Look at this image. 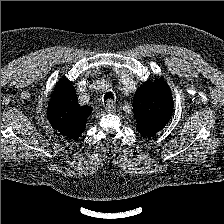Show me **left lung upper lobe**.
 Wrapping results in <instances>:
<instances>
[{
	"label": "left lung upper lobe",
	"instance_id": "obj_1",
	"mask_svg": "<svg viewBox=\"0 0 224 224\" xmlns=\"http://www.w3.org/2000/svg\"><path fill=\"white\" fill-rule=\"evenodd\" d=\"M173 98L166 82L156 79L138 88L133 99L137 130L143 137H153L171 118Z\"/></svg>",
	"mask_w": 224,
	"mask_h": 224
}]
</instances>
